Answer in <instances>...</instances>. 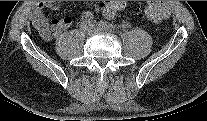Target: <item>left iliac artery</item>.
I'll return each instance as SVG.
<instances>
[{
	"mask_svg": "<svg viewBox=\"0 0 207 121\" xmlns=\"http://www.w3.org/2000/svg\"><path fill=\"white\" fill-rule=\"evenodd\" d=\"M98 26L99 27H102L104 29L113 30V31L120 28V26L114 25L112 23L110 24V23H108L106 21H100V22H98Z\"/></svg>",
	"mask_w": 207,
	"mask_h": 121,
	"instance_id": "obj_1",
	"label": "left iliac artery"
}]
</instances>
